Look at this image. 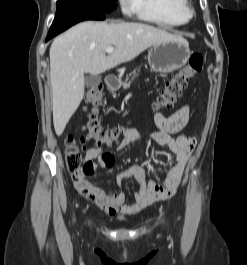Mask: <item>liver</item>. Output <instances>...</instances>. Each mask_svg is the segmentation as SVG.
Listing matches in <instances>:
<instances>
[{
	"instance_id": "obj_1",
	"label": "liver",
	"mask_w": 247,
	"mask_h": 265,
	"mask_svg": "<svg viewBox=\"0 0 247 265\" xmlns=\"http://www.w3.org/2000/svg\"><path fill=\"white\" fill-rule=\"evenodd\" d=\"M143 23H79L56 37L50 47V77L55 132L60 136L84 96L85 73L98 75L129 62L147 48L181 40ZM106 47L115 50L106 56Z\"/></svg>"
}]
</instances>
